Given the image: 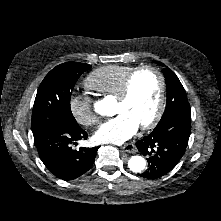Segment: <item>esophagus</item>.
<instances>
[{"instance_id":"1","label":"esophagus","mask_w":221,"mask_h":221,"mask_svg":"<svg viewBox=\"0 0 221 221\" xmlns=\"http://www.w3.org/2000/svg\"><path fill=\"white\" fill-rule=\"evenodd\" d=\"M122 150H124L127 153H136V147L133 143L125 144L121 147Z\"/></svg>"}]
</instances>
